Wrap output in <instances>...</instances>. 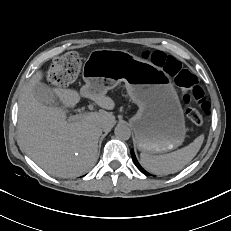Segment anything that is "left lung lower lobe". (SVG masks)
Returning a JSON list of instances; mask_svg holds the SVG:
<instances>
[{"mask_svg":"<svg viewBox=\"0 0 231 231\" xmlns=\"http://www.w3.org/2000/svg\"><path fill=\"white\" fill-rule=\"evenodd\" d=\"M131 155H132L133 161H134L135 165L137 166V168H138L142 173H144L145 175H149V174L140 166V164L138 163V161H137V159H136V157H135V155H134L133 150H131Z\"/></svg>","mask_w":231,"mask_h":231,"instance_id":"left-lung-lower-lobe-1","label":"left lung lower lobe"}]
</instances>
